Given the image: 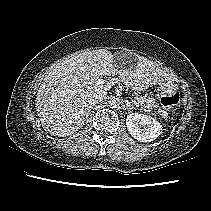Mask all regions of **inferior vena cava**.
<instances>
[{
	"label": "inferior vena cava",
	"mask_w": 211,
	"mask_h": 211,
	"mask_svg": "<svg viewBox=\"0 0 211 211\" xmlns=\"http://www.w3.org/2000/svg\"><path fill=\"white\" fill-rule=\"evenodd\" d=\"M105 96H106L105 91H98V92L92 94L91 96H89L87 102L90 105H94V104H97L98 102H100L101 100H103Z\"/></svg>",
	"instance_id": "1"
}]
</instances>
